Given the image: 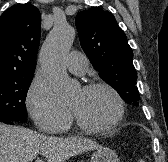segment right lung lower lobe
<instances>
[{
    "instance_id": "right-lung-lower-lobe-1",
    "label": "right lung lower lobe",
    "mask_w": 168,
    "mask_h": 162,
    "mask_svg": "<svg viewBox=\"0 0 168 162\" xmlns=\"http://www.w3.org/2000/svg\"><path fill=\"white\" fill-rule=\"evenodd\" d=\"M0 122H4V123H8V124H13V121H9V120H2V119H0Z\"/></svg>"
}]
</instances>
